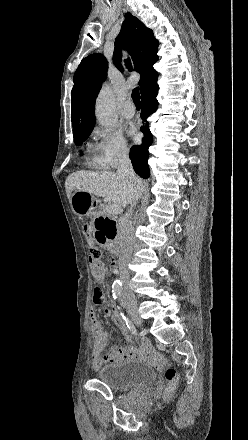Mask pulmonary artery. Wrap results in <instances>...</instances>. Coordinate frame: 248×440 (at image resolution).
<instances>
[{"mask_svg": "<svg viewBox=\"0 0 248 440\" xmlns=\"http://www.w3.org/2000/svg\"><path fill=\"white\" fill-rule=\"evenodd\" d=\"M135 112H136L135 107L132 101L130 100L126 101L122 110L123 116L130 119L134 117Z\"/></svg>", "mask_w": 248, "mask_h": 440, "instance_id": "1", "label": "pulmonary artery"}]
</instances>
